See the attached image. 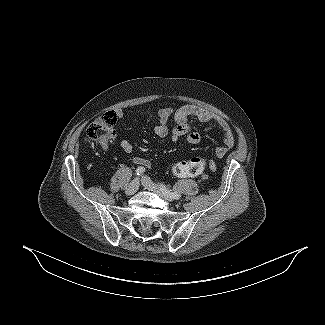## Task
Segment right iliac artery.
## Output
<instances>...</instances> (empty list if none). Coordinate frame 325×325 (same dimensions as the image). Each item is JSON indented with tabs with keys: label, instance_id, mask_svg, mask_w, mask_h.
<instances>
[{
	"label": "right iliac artery",
	"instance_id": "1",
	"mask_svg": "<svg viewBox=\"0 0 325 325\" xmlns=\"http://www.w3.org/2000/svg\"><path fill=\"white\" fill-rule=\"evenodd\" d=\"M145 172V168L144 167H138L137 170H136V174L139 176V175H142L143 173Z\"/></svg>",
	"mask_w": 325,
	"mask_h": 325
}]
</instances>
